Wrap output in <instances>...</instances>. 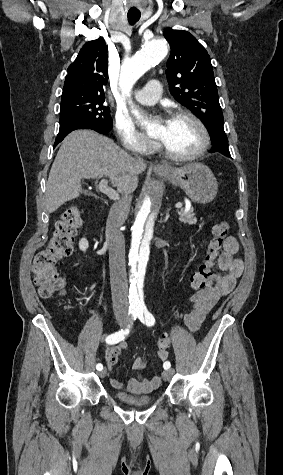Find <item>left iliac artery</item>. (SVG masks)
<instances>
[{
  "label": "left iliac artery",
  "mask_w": 283,
  "mask_h": 475,
  "mask_svg": "<svg viewBox=\"0 0 283 475\" xmlns=\"http://www.w3.org/2000/svg\"><path fill=\"white\" fill-rule=\"evenodd\" d=\"M137 315V317L139 318V320L142 322V323H146L147 326H152L154 325L155 323V318L154 316L147 310V309H144V310H140V311H137L135 313ZM171 366L170 362L166 361L164 364H163V368L165 370L169 369Z\"/></svg>",
  "instance_id": "obj_1"
}]
</instances>
